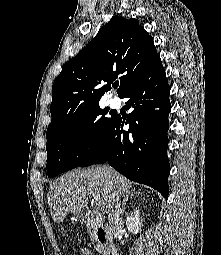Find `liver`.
Here are the masks:
<instances>
[{"label":"liver","instance_id":"6515ba94","mask_svg":"<svg viewBox=\"0 0 221 255\" xmlns=\"http://www.w3.org/2000/svg\"><path fill=\"white\" fill-rule=\"evenodd\" d=\"M132 183L108 166H91L64 174L50 185L47 199L51 216L61 223L69 213L77 214L88 204V196L96 194L102 208L109 213L117 195L126 196Z\"/></svg>","mask_w":221,"mask_h":255}]
</instances>
